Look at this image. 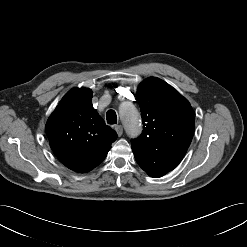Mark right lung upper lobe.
<instances>
[{"mask_svg":"<svg viewBox=\"0 0 247 247\" xmlns=\"http://www.w3.org/2000/svg\"><path fill=\"white\" fill-rule=\"evenodd\" d=\"M50 146L69 169L86 173L105 159L116 132L107 126L92 105V91L71 89L46 124Z\"/></svg>","mask_w":247,"mask_h":247,"instance_id":"right-lung-upper-lobe-1","label":"right lung upper lobe"}]
</instances>
